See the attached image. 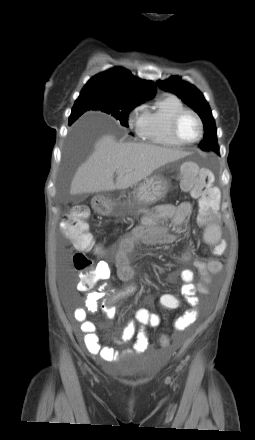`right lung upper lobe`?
Returning <instances> with one entry per match:
<instances>
[{"instance_id": "right-lung-upper-lobe-1", "label": "right lung upper lobe", "mask_w": 255, "mask_h": 440, "mask_svg": "<svg viewBox=\"0 0 255 440\" xmlns=\"http://www.w3.org/2000/svg\"><path fill=\"white\" fill-rule=\"evenodd\" d=\"M156 86L153 82L134 77L128 70L116 67L92 77L80 95H92L107 100L122 102H143L154 97ZM75 116L71 115L69 124Z\"/></svg>"}]
</instances>
